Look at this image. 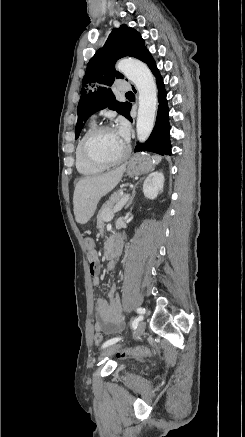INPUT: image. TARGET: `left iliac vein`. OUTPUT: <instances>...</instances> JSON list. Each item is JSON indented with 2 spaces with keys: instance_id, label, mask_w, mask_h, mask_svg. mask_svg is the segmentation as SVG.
I'll list each match as a JSON object with an SVG mask.
<instances>
[{
  "instance_id": "1",
  "label": "left iliac vein",
  "mask_w": 245,
  "mask_h": 437,
  "mask_svg": "<svg viewBox=\"0 0 245 437\" xmlns=\"http://www.w3.org/2000/svg\"><path fill=\"white\" fill-rule=\"evenodd\" d=\"M145 322L144 321H141L139 324H138V328H137V333H136V335H135V338L136 339H138V338H140L141 336H142V334H143V332H144V330H145ZM120 347V345H112V346H110V347H108L102 354H101V356H100V359H102V358H104V357H106V356H109V355H112V354H114L117 350H118V348Z\"/></svg>"
}]
</instances>
